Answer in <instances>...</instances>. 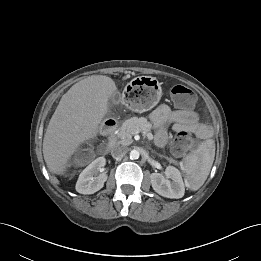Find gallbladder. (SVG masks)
Here are the masks:
<instances>
[{
    "label": "gallbladder",
    "instance_id": "gallbladder-1",
    "mask_svg": "<svg viewBox=\"0 0 261 261\" xmlns=\"http://www.w3.org/2000/svg\"><path fill=\"white\" fill-rule=\"evenodd\" d=\"M120 99H121L120 94H119L118 92H117V93H114V94L110 97V99H109V104H110L111 106L116 105V104L119 103Z\"/></svg>",
    "mask_w": 261,
    "mask_h": 261
}]
</instances>
